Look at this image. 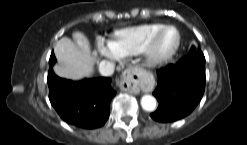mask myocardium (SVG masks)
<instances>
[{
    "label": "myocardium",
    "instance_id": "obj_1",
    "mask_svg": "<svg viewBox=\"0 0 247 145\" xmlns=\"http://www.w3.org/2000/svg\"><path fill=\"white\" fill-rule=\"evenodd\" d=\"M168 29H172L176 33V43L174 47L166 54H159L156 52V43L159 36ZM181 45V34L177 27L173 25H163L159 29H157L150 39L148 40L147 44L145 45L144 49L142 50V65L147 69H156L159 68L167 63H169L173 57L178 52Z\"/></svg>",
    "mask_w": 247,
    "mask_h": 145
}]
</instances>
